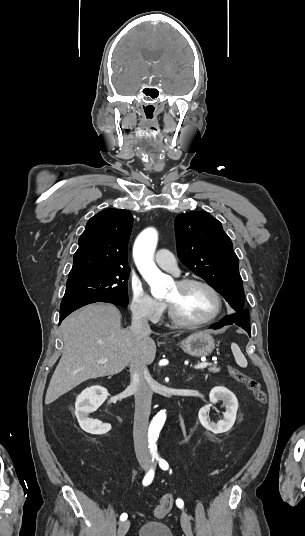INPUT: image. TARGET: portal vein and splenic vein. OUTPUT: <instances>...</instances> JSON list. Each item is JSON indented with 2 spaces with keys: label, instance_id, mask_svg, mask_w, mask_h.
I'll use <instances>...</instances> for the list:
<instances>
[{
  "label": "portal vein and splenic vein",
  "instance_id": "18ae733b",
  "mask_svg": "<svg viewBox=\"0 0 305 536\" xmlns=\"http://www.w3.org/2000/svg\"><path fill=\"white\" fill-rule=\"evenodd\" d=\"M108 360H99L98 364H106ZM207 366H211V364H208V362H203V364H197V366H194L195 370H203V368H207Z\"/></svg>",
  "mask_w": 305,
  "mask_h": 536
}]
</instances>
